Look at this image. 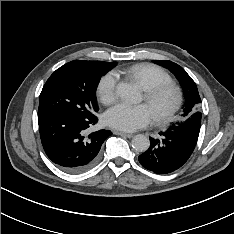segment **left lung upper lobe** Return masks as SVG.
Here are the masks:
<instances>
[{
	"mask_svg": "<svg viewBox=\"0 0 234 234\" xmlns=\"http://www.w3.org/2000/svg\"><path fill=\"white\" fill-rule=\"evenodd\" d=\"M154 63L159 64L172 73L179 80L185 97V104L181 113V118L170 128H181L186 130L190 135L198 137L201 127V99L198 93L197 86L186 71L176 63L171 61L154 60Z\"/></svg>",
	"mask_w": 234,
	"mask_h": 234,
	"instance_id": "left-lung-upper-lobe-1",
	"label": "left lung upper lobe"
}]
</instances>
